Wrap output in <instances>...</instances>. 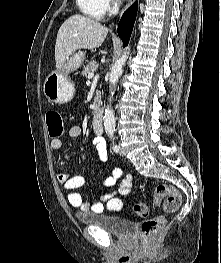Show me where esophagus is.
<instances>
[{
	"instance_id": "esophagus-1",
	"label": "esophagus",
	"mask_w": 221,
	"mask_h": 263,
	"mask_svg": "<svg viewBox=\"0 0 221 263\" xmlns=\"http://www.w3.org/2000/svg\"><path fill=\"white\" fill-rule=\"evenodd\" d=\"M134 2H135V0H129V2L127 4V8L130 7Z\"/></svg>"
}]
</instances>
